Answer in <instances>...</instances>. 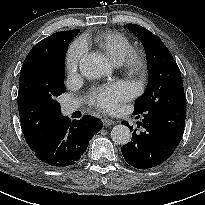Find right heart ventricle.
Wrapping results in <instances>:
<instances>
[{"mask_svg":"<svg viewBox=\"0 0 205 205\" xmlns=\"http://www.w3.org/2000/svg\"><path fill=\"white\" fill-rule=\"evenodd\" d=\"M94 43L107 54L115 65H120L133 49L130 40L118 31L99 32L94 37Z\"/></svg>","mask_w":205,"mask_h":205,"instance_id":"1","label":"right heart ventricle"}]
</instances>
